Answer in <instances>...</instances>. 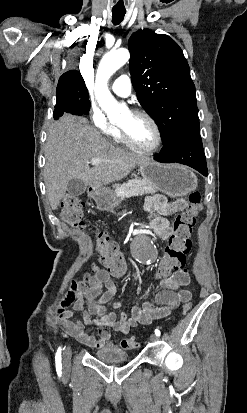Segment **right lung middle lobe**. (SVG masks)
Instances as JSON below:
<instances>
[{"mask_svg": "<svg viewBox=\"0 0 247 413\" xmlns=\"http://www.w3.org/2000/svg\"><path fill=\"white\" fill-rule=\"evenodd\" d=\"M88 90L84 81H64L58 82L56 90V100H68L79 106L84 114L90 110Z\"/></svg>", "mask_w": 247, "mask_h": 413, "instance_id": "dd1d6c3e", "label": "right lung middle lobe"}]
</instances>
